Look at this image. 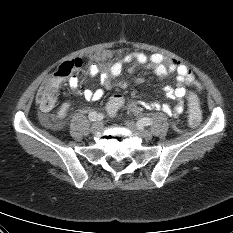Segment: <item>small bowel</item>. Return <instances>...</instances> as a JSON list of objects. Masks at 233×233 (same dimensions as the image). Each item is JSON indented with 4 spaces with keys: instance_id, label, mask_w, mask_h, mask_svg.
Instances as JSON below:
<instances>
[{
    "instance_id": "c3829d8e",
    "label": "small bowel",
    "mask_w": 233,
    "mask_h": 233,
    "mask_svg": "<svg viewBox=\"0 0 233 233\" xmlns=\"http://www.w3.org/2000/svg\"><path fill=\"white\" fill-rule=\"evenodd\" d=\"M109 55L110 54H107V56ZM125 66L129 67V72L131 74H134L138 67L151 66L158 76L165 77L171 74L176 75L177 86L175 88L167 87L165 89L167 97L177 101V104L174 107L167 104L161 105L157 102L148 103L133 101L131 103V108L135 111L144 107L149 110H162L167 115L176 117L182 113L183 103L189 98V92L186 86H192L198 91L202 89L201 84L195 78L191 69L184 63L175 59L166 58L164 55L159 53L148 55L144 52H132L126 54L101 72V88H86L80 93V95L88 101L101 99L105 95L106 91L112 89L113 79L122 73ZM99 71L100 67L98 65H92L89 69V74L94 75ZM137 81H141V79H137ZM78 84L79 80L77 77L73 76L69 79V85L73 90L77 88ZM117 85L120 88H125L126 82L121 80L117 82Z\"/></svg>"
}]
</instances>
